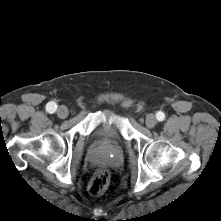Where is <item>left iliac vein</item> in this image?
<instances>
[{"instance_id":"4c4485c4","label":"left iliac vein","mask_w":221,"mask_h":221,"mask_svg":"<svg viewBox=\"0 0 221 221\" xmlns=\"http://www.w3.org/2000/svg\"><path fill=\"white\" fill-rule=\"evenodd\" d=\"M157 123L156 117L153 114H149L146 117L145 124L148 128H153Z\"/></svg>"}]
</instances>
